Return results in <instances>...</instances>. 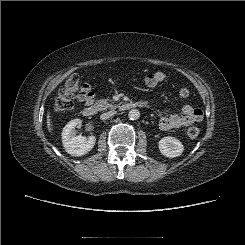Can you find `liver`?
I'll return each instance as SVG.
<instances>
[{
    "label": "liver",
    "instance_id": "6515ba94",
    "mask_svg": "<svg viewBox=\"0 0 245 245\" xmlns=\"http://www.w3.org/2000/svg\"><path fill=\"white\" fill-rule=\"evenodd\" d=\"M47 128L48 131L51 133L52 132V124H51V119H50V113H47Z\"/></svg>",
    "mask_w": 245,
    "mask_h": 245
}]
</instances>
